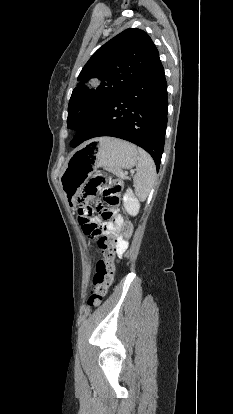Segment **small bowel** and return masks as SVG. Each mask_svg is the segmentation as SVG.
Returning <instances> with one entry per match:
<instances>
[{
	"label": "small bowel",
	"instance_id": "1",
	"mask_svg": "<svg viewBox=\"0 0 233 414\" xmlns=\"http://www.w3.org/2000/svg\"><path fill=\"white\" fill-rule=\"evenodd\" d=\"M89 209V208H88ZM89 212L91 214V210L89 209ZM89 223L98 226L100 225L102 229L106 232L112 233L116 236V239L118 241L119 251L123 252L126 247L127 243L121 236V233L123 232V219L119 215L118 211L113 209L110 211L109 216L105 217V221L101 222L100 219L96 216L88 218ZM123 247V248H122Z\"/></svg>",
	"mask_w": 233,
	"mask_h": 414
}]
</instances>
